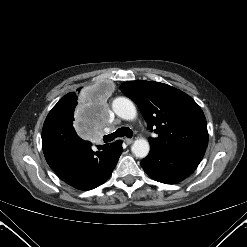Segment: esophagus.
<instances>
[{
  "mask_svg": "<svg viewBox=\"0 0 247 247\" xmlns=\"http://www.w3.org/2000/svg\"><path fill=\"white\" fill-rule=\"evenodd\" d=\"M124 141H125V143H126L127 145H130V144L133 143V139H130V138H125Z\"/></svg>",
  "mask_w": 247,
  "mask_h": 247,
  "instance_id": "34e87169",
  "label": "esophagus"
}]
</instances>
